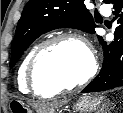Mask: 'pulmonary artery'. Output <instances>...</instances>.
I'll return each mask as SVG.
<instances>
[{"label":"pulmonary artery","instance_id":"e3ab8cb5","mask_svg":"<svg viewBox=\"0 0 123 113\" xmlns=\"http://www.w3.org/2000/svg\"><path fill=\"white\" fill-rule=\"evenodd\" d=\"M101 12L104 15L108 16L110 14V8L108 6H106V5H104V6L101 7Z\"/></svg>","mask_w":123,"mask_h":113}]
</instances>
